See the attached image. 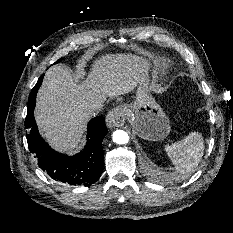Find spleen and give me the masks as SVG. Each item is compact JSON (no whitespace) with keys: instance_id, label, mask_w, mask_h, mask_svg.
<instances>
[{"instance_id":"1","label":"spleen","mask_w":233,"mask_h":233,"mask_svg":"<svg viewBox=\"0 0 233 233\" xmlns=\"http://www.w3.org/2000/svg\"><path fill=\"white\" fill-rule=\"evenodd\" d=\"M165 151L175 165L176 173L171 176H185L192 173L201 161L204 142L200 133L191 132L180 141L166 145Z\"/></svg>"}]
</instances>
